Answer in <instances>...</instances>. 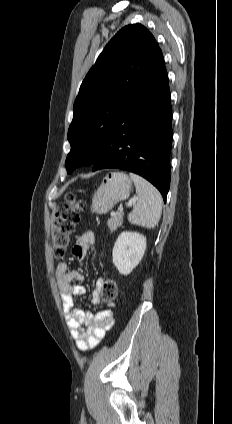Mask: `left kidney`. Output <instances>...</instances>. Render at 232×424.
<instances>
[{
	"mask_svg": "<svg viewBox=\"0 0 232 424\" xmlns=\"http://www.w3.org/2000/svg\"><path fill=\"white\" fill-rule=\"evenodd\" d=\"M146 249V237L137 232H122L113 247V264L122 275H128L140 263Z\"/></svg>",
	"mask_w": 232,
	"mask_h": 424,
	"instance_id": "1",
	"label": "left kidney"
}]
</instances>
